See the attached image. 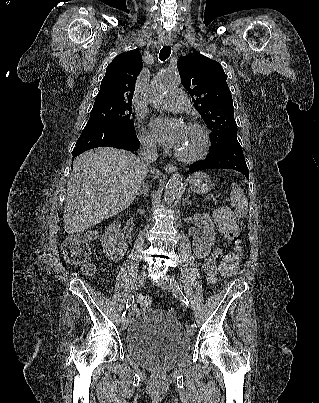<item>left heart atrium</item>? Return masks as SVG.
Returning <instances> with one entry per match:
<instances>
[{"instance_id": "left-heart-atrium-1", "label": "left heart atrium", "mask_w": 319, "mask_h": 403, "mask_svg": "<svg viewBox=\"0 0 319 403\" xmlns=\"http://www.w3.org/2000/svg\"><path fill=\"white\" fill-rule=\"evenodd\" d=\"M151 126L157 140L167 147L176 149L183 139L185 127L176 119L158 118Z\"/></svg>"}]
</instances>
